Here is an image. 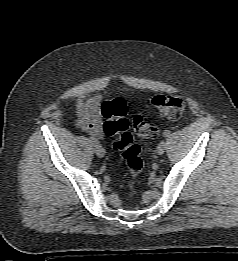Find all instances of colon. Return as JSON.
Instances as JSON below:
<instances>
[{"label":"colon","instance_id":"1","mask_svg":"<svg viewBox=\"0 0 238 261\" xmlns=\"http://www.w3.org/2000/svg\"><path fill=\"white\" fill-rule=\"evenodd\" d=\"M151 105L170 119H179L185 110L184 100L170 95L154 96ZM102 113L105 118L103 131L108 136H116L112 146L120 153L128 168L130 176L127 182V193L128 198L133 199L138 177L144 169V162L140 155V147L129 131V122L126 118L127 104L122 98H114L103 103ZM131 126L141 138L151 139L158 134V129L147 122L142 115H136L132 119Z\"/></svg>","mask_w":238,"mask_h":261}]
</instances>
